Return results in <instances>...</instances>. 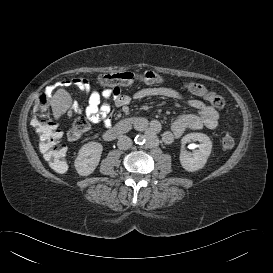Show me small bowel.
Masks as SVG:
<instances>
[{
  "label": "small bowel",
  "instance_id": "obj_1",
  "mask_svg": "<svg viewBox=\"0 0 273 273\" xmlns=\"http://www.w3.org/2000/svg\"><path fill=\"white\" fill-rule=\"evenodd\" d=\"M185 88L192 94H195L190 85ZM63 86H74L87 94V103L84 107L74 103L72 109L76 112H83L84 115L94 124L103 122L105 125L111 124L112 105L111 100L116 107H123L130 103L131 98L121 92L120 88L107 87L101 90L93 89L91 83L86 78H73L60 82ZM199 84V83H198ZM202 85V84H201ZM133 97L135 99H144L150 97L183 99L184 95L168 86H152L137 90ZM187 104L197 113H187L178 117L171 125L169 130L162 134V140L166 144H170L174 139L180 137L187 130H198L201 128L214 129L218 125L219 113L212 106L206 104L199 99H189ZM161 125L158 121H151L149 124V132L156 135L160 132Z\"/></svg>",
  "mask_w": 273,
  "mask_h": 273
}]
</instances>
